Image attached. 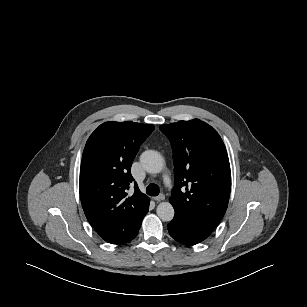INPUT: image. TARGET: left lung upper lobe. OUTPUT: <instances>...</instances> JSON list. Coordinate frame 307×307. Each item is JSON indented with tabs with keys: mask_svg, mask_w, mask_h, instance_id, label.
I'll list each match as a JSON object with an SVG mask.
<instances>
[{
	"mask_svg": "<svg viewBox=\"0 0 307 307\" xmlns=\"http://www.w3.org/2000/svg\"><path fill=\"white\" fill-rule=\"evenodd\" d=\"M159 128L173 150L174 190L169 201L175 216L209 236L225 214L230 196L225 145L214 128L198 119Z\"/></svg>",
	"mask_w": 307,
	"mask_h": 307,
	"instance_id": "left-lung-upper-lobe-1",
	"label": "left lung upper lobe"
}]
</instances>
